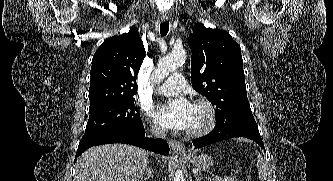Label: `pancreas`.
I'll list each match as a JSON object with an SVG mask.
<instances>
[{
    "instance_id": "pancreas-1",
    "label": "pancreas",
    "mask_w": 333,
    "mask_h": 181,
    "mask_svg": "<svg viewBox=\"0 0 333 181\" xmlns=\"http://www.w3.org/2000/svg\"><path fill=\"white\" fill-rule=\"evenodd\" d=\"M222 181H238L235 177L224 176Z\"/></svg>"
}]
</instances>
